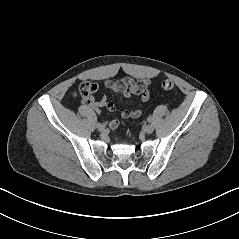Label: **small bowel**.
Returning a JSON list of instances; mask_svg holds the SVG:
<instances>
[{
	"label": "small bowel",
	"mask_w": 239,
	"mask_h": 239,
	"mask_svg": "<svg viewBox=\"0 0 239 239\" xmlns=\"http://www.w3.org/2000/svg\"><path fill=\"white\" fill-rule=\"evenodd\" d=\"M85 84V83H84ZM92 84V83H91ZM148 80L136 81L133 78L125 77L118 81L108 80L104 83V86L112 91L122 92L126 98L139 95L140 101L138 105L132 110L121 109L116 103L109 99L108 96H104L101 99H95L93 93L97 89L96 84H92L94 92L89 97H83V102L90 108L100 111L102 108H107L111 112L118 113L122 118H139L143 113V104L148 101ZM108 125L110 128L115 129L119 126V121L115 118L109 120Z\"/></svg>",
	"instance_id": "c3829d8e"
}]
</instances>
